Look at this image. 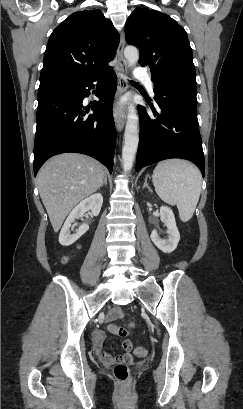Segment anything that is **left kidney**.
<instances>
[{
    "label": "left kidney",
    "mask_w": 243,
    "mask_h": 409,
    "mask_svg": "<svg viewBox=\"0 0 243 409\" xmlns=\"http://www.w3.org/2000/svg\"><path fill=\"white\" fill-rule=\"evenodd\" d=\"M160 219L165 224L168 230L169 237L167 240H162L157 231H152L151 240L164 253H171L177 247L180 240V233L176 226L175 217L171 208L167 206H161Z\"/></svg>",
    "instance_id": "5707ae66"
}]
</instances>
